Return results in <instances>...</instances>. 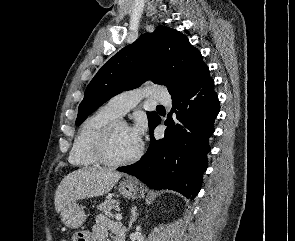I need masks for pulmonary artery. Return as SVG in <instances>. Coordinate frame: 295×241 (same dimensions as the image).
Listing matches in <instances>:
<instances>
[{
	"instance_id": "1",
	"label": "pulmonary artery",
	"mask_w": 295,
	"mask_h": 241,
	"mask_svg": "<svg viewBox=\"0 0 295 241\" xmlns=\"http://www.w3.org/2000/svg\"><path fill=\"white\" fill-rule=\"evenodd\" d=\"M144 97H149L154 101L166 105H170L171 103V97L167 90L163 89L160 85H152L146 88L124 91L110 98L105 106L116 115L123 116Z\"/></svg>"
}]
</instances>
